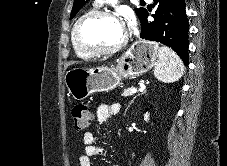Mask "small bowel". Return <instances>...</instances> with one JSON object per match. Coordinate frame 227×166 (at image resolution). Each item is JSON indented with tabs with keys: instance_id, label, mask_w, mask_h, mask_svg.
<instances>
[{
	"instance_id": "c3829d8e",
	"label": "small bowel",
	"mask_w": 227,
	"mask_h": 166,
	"mask_svg": "<svg viewBox=\"0 0 227 166\" xmlns=\"http://www.w3.org/2000/svg\"><path fill=\"white\" fill-rule=\"evenodd\" d=\"M120 104H100L96 110L98 122H104L112 116H115L120 111ZM83 143L85 144L82 155L79 158L80 166H91V158L97 155H106V153L94 145L95 135L92 132H86L82 135ZM119 166H124L120 164Z\"/></svg>"
}]
</instances>
